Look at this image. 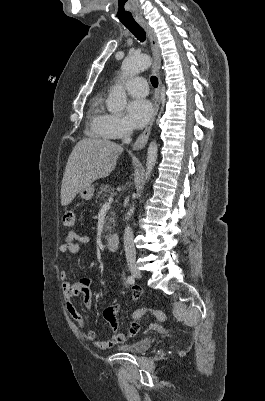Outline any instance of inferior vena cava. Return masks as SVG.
I'll list each match as a JSON object with an SVG mask.
<instances>
[{
	"label": "inferior vena cava",
	"instance_id": "1",
	"mask_svg": "<svg viewBox=\"0 0 265 401\" xmlns=\"http://www.w3.org/2000/svg\"><path fill=\"white\" fill-rule=\"evenodd\" d=\"M131 132H132V126H127L123 142H130V140H132V138H130L129 136ZM133 239H134L133 231L132 229H130V227H127L124 233V247H125L126 259H136V251Z\"/></svg>",
	"mask_w": 265,
	"mask_h": 401
}]
</instances>
